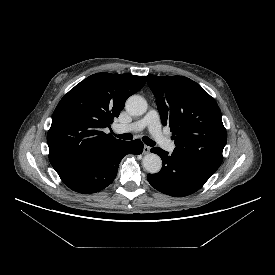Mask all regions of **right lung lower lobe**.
I'll list each match as a JSON object with an SVG mask.
<instances>
[{"label": "right lung lower lobe", "mask_w": 275, "mask_h": 275, "mask_svg": "<svg viewBox=\"0 0 275 275\" xmlns=\"http://www.w3.org/2000/svg\"><path fill=\"white\" fill-rule=\"evenodd\" d=\"M143 143L134 141L119 146L85 160L76 165L58 170L61 180L73 191L90 194L101 191L115 179L122 158L129 153L139 155L143 151Z\"/></svg>", "instance_id": "right-lung-lower-lobe-1"}]
</instances>
